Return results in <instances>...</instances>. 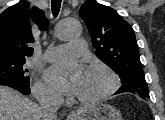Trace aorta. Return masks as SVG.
<instances>
[{"instance_id": "aorta-1", "label": "aorta", "mask_w": 165, "mask_h": 120, "mask_svg": "<svg viewBox=\"0 0 165 120\" xmlns=\"http://www.w3.org/2000/svg\"><path fill=\"white\" fill-rule=\"evenodd\" d=\"M81 33V24L78 20L70 18L65 20L58 29V37L69 39L79 36Z\"/></svg>"}]
</instances>
